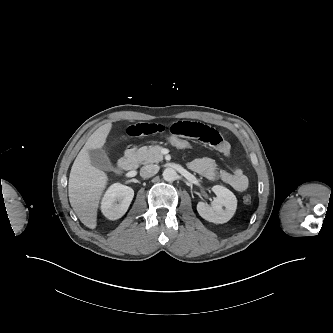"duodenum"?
Listing matches in <instances>:
<instances>
[{"label": "duodenum", "mask_w": 333, "mask_h": 333, "mask_svg": "<svg viewBox=\"0 0 333 333\" xmlns=\"http://www.w3.org/2000/svg\"><path fill=\"white\" fill-rule=\"evenodd\" d=\"M138 161L139 160H138V155L136 152V147L131 146L127 149L124 157H122L119 160L118 166L122 170L132 171V170L136 169V167L138 166Z\"/></svg>", "instance_id": "duodenum-1"}]
</instances>
